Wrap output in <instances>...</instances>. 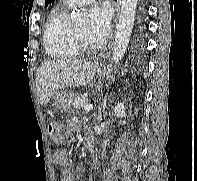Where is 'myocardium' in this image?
I'll return each instance as SVG.
<instances>
[{
	"mask_svg": "<svg viewBox=\"0 0 197 181\" xmlns=\"http://www.w3.org/2000/svg\"><path fill=\"white\" fill-rule=\"evenodd\" d=\"M71 39L77 51L83 54L95 52L100 48L99 45L90 46L86 44L74 27L71 28Z\"/></svg>",
	"mask_w": 197,
	"mask_h": 181,
	"instance_id": "1",
	"label": "myocardium"
}]
</instances>
